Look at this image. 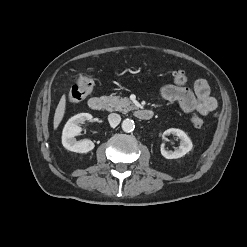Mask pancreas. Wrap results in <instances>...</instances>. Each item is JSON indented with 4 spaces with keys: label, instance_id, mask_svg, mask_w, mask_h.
I'll return each mask as SVG.
<instances>
[{
    "label": "pancreas",
    "instance_id": "obj_1",
    "mask_svg": "<svg viewBox=\"0 0 247 247\" xmlns=\"http://www.w3.org/2000/svg\"><path fill=\"white\" fill-rule=\"evenodd\" d=\"M107 100L109 103L108 110L127 113L134 109V107L131 106V101L128 98H121L119 96H109L107 97Z\"/></svg>",
    "mask_w": 247,
    "mask_h": 247
}]
</instances>
